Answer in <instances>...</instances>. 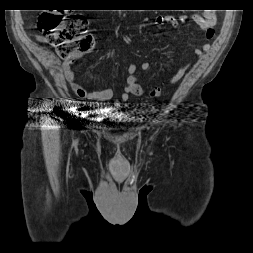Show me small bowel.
<instances>
[{"instance_id": "small-bowel-1", "label": "small bowel", "mask_w": 253, "mask_h": 253, "mask_svg": "<svg viewBox=\"0 0 253 253\" xmlns=\"http://www.w3.org/2000/svg\"><path fill=\"white\" fill-rule=\"evenodd\" d=\"M193 20L204 32L205 40L207 43L203 44L202 49L207 51L210 49L211 41L215 36L214 25L216 21L215 15L211 11H205L203 14H194ZM179 22L188 23V18L186 15H180L179 18L172 16L158 17L155 19L154 24L162 29L166 24L177 28ZM43 40L42 37H39ZM194 54L197 57L202 55V50L195 49ZM150 68L148 62H142L140 64H131L127 69L126 84L120 98L115 102V106L119 107L122 103L126 102L130 95L143 96L146 94L147 90L140 84L139 78L136 75L138 69L142 71H147ZM187 67L178 68L173 77L170 78L169 84L177 83L185 74ZM63 72L66 80L69 82L71 88L76 93L77 96L83 99L96 100V101H107L113 96V91L109 88H102L97 90H89L88 87L80 84L76 78L75 72L72 69L71 62L65 61L63 63Z\"/></svg>"}]
</instances>
